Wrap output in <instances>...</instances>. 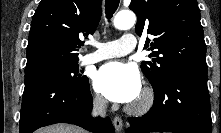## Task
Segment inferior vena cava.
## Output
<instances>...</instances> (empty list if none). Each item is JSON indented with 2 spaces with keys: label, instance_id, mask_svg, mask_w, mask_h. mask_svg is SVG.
Returning <instances> with one entry per match:
<instances>
[{
  "label": "inferior vena cava",
  "instance_id": "602c4592",
  "mask_svg": "<svg viewBox=\"0 0 221 133\" xmlns=\"http://www.w3.org/2000/svg\"><path fill=\"white\" fill-rule=\"evenodd\" d=\"M106 108H107V100L100 96L95 97L93 102L92 116H98V115L105 116Z\"/></svg>",
  "mask_w": 221,
  "mask_h": 133
}]
</instances>
